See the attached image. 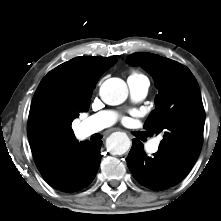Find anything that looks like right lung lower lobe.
Returning <instances> with one entry per match:
<instances>
[{
	"mask_svg": "<svg viewBox=\"0 0 221 221\" xmlns=\"http://www.w3.org/2000/svg\"><path fill=\"white\" fill-rule=\"evenodd\" d=\"M102 141H83L54 167L41 173L53 188L63 192H75L88 186L100 165Z\"/></svg>",
	"mask_w": 221,
	"mask_h": 221,
	"instance_id": "obj_1",
	"label": "right lung lower lobe"
}]
</instances>
